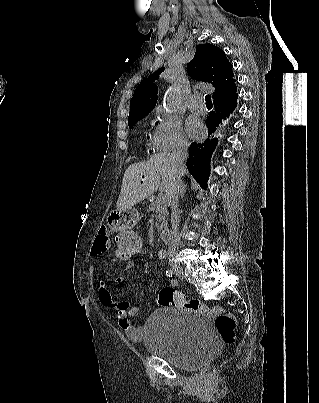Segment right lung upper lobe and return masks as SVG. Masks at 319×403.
Wrapping results in <instances>:
<instances>
[{
  "mask_svg": "<svg viewBox=\"0 0 319 403\" xmlns=\"http://www.w3.org/2000/svg\"><path fill=\"white\" fill-rule=\"evenodd\" d=\"M164 69L157 70L135 89L128 120L146 116L155 107L158 88L154 82ZM187 71L192 79L210 83L215 87L214 101L236 91L232 64L225 53L212 44L198 45L194 58L187 65Z\"/></svg>",
  "mask_w": 319,
  "mask_h": 403,
  "instance_id": "cb5924a9",
  "label": "right lung upper lobe"
}]
</instances>
